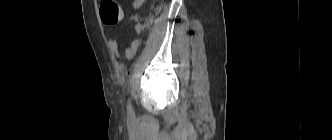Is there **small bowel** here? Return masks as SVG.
Returning a JSON list of instances; mask_svg holds the SVG:
<instances>
[{"instance_id": "small-bowel-1", "label": "small bowel", "mask_w": 332, "mask_h": 140, "mask_svg": "<svg viewBox=\"0 0 332 140\" xmlns=\"http://www.w3.org/2000/svg\"><path fill=\"white\" fill-rule=\"evenodd\" d=\"M146 0H133L132 1V7L134 9H140L144 3H145ZM108 46L111 50V52L118 58V59H121L122 57V54H121V51H120V48H119V43L116 39H111L109 42H108ZM138 46H139V43L138 41L135 39L133 40L124 50V55L127 59H132L137 50H138Z\"/></svg>"}]
</instances>
